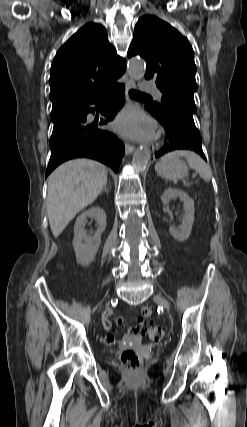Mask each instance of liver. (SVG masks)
<instances>
[{
  "label": "liver",
  "mask_w": 247,
  "mask_h": 427,
  "mask_svg": "<svg viewBox=\"0 0 247 427\" xmlns=\"http://www.w3.org/2000/svg\"><path fill=\"white\" fill-rule=\"evenodd\" d=\"M107 168L94 160L63 163L48 178L47 215L57 238L69 222L93 203L107 182Z\"/></svg>",
  "instance_id": "1"
}]
</instances>
